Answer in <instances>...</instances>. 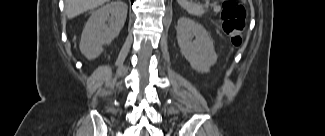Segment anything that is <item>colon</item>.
<instances>
[{
  "label": "colon",
  "instance_id": "1",
  "mask_svg": "<svg viewBox=\"0 0 325 136\" xmlns=\"http://www.w3.org/2000/svg\"><path fill=\"white\" fill-rule=\"evenodd\" d=\"M222 27L235 46H240L243 43L245 31V8L243 3L235 0H224Z\"/></svg>",
  "mask_w": 325,
  "mask_h": 136
}]
</instances>
